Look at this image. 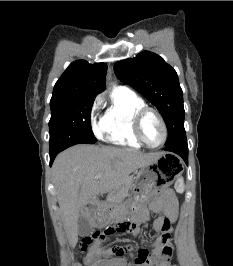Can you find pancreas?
Wrapping results in <instances>:
<instances>
[{
	"mask_svg": "<svg viewBox=\"0 0 233 266\" xmlns=\"http://www.w3.org/2000/svg\"><path fill=\"white\" fill-rule=\"evenodd\" d=\"M133 185L134 179L132 177L127 178L120 187L114 189V191L109 194L107 200L110 202H116L124 199L132 189Z\"/></svg>",
	"mask_w": 233,
	"mask_h": 266,
	"instance_id": "pancreas-1",
	"label": "pancreas"
}]
</instances>
